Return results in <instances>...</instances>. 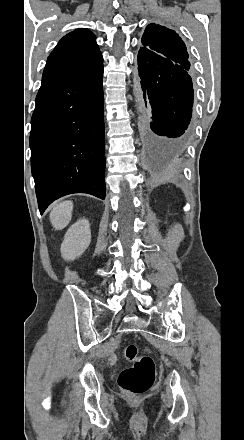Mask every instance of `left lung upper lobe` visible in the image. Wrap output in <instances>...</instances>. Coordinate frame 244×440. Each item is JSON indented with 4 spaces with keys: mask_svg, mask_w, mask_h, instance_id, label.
Instances as JSON below:
<instances>
[{
    "mask_svg": "<svg viewBox=\"0 0 244 440\" xmlns=\"http://www.w3.org/2000/svg\"><path fill=\"white\" fill-rule=\"evenodd\" d=\"M141 41L144 47L138 52L139 62L190 69L185 43L174 30L151 23Z\"/></svg>",
    "mask_w": 244,
    "mask_h": 440,
    "instance_id": "5c2ea615",
    "label": "left lung upper lobe"
}]
</instances>
